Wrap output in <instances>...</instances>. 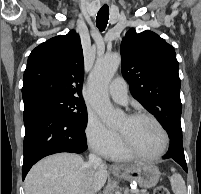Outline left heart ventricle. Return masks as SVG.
Instances as JSON below:
<instances>
[{"mask_svg": "<svg viewBox=\"0 0 201 194\" xmlns=\"http://www.w3.org/2000/svg\"><path fill=\"white\" fill-rule=\"evenodd\" d=\"M131 147L142 154H155L163 146V136L159 128L147 118H123L118 126Z\"/></svg>", "mask_w": 201, "mask_h": 194, "instance_id": "left-heart-ventricle-1", "label": "left heart ventricle"}]
</instances>
